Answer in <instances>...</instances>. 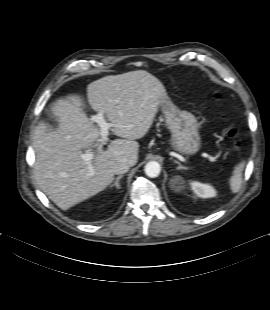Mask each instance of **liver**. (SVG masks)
Here are the masks:
<instances>
[{"label":"liver","mask_w":270,"mask_h":310,"mask_svg":"<svg viewBox=\"0 0 270 310\" xmlns=\"http://www.w3.org/2000/svg\"><path fill=\"white\" fill-rule=\"evenodd\" d=\"M90 107L103 111L112 134L123 139L111 141L106 150L92 152L101 139L100 128L88 118L79 95H68L50 105L58 127L49 130L44 121L37 126L33 147L35 178L40 189L62 210L103 191L114 180L113 166L127 160L134 166L139 143L150 130L158 108L167 99L162 83L144 70L105 76L87 87ZM81 150L94 154L90 164Z\"/></svg>","instance_id":"6515ba94"}]
</instances>
